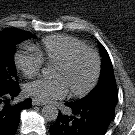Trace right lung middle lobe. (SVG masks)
Listing matches in <instances>:
<instances>
[{
	"label": "right lung middle lobe",
	"mask_w": 135,
	"mask_h": 135,
	"mask_svg": "<svg viewBox=\"0 0 135 135\" xmlns=\"http://www.w3.org/2000/svg\"><path fill=\"white\" fill-rule=\"evenodd\" d=\"M33 37L35 36L19 29H7L0 32V92L9 91L18 86L14 63L15 46Z\"/></svg>",
	"instance_id": "1"
}]
</instances>
